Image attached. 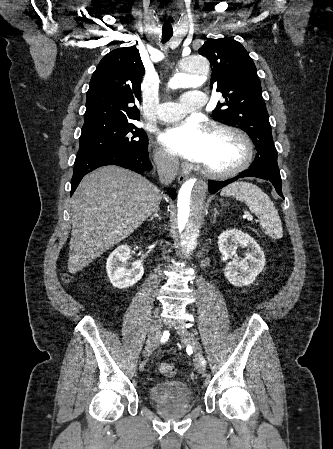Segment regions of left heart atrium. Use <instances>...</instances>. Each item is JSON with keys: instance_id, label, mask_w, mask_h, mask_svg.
I'll use <instances>...</instances> for the list:
<instances>
[{"instance_id": "left-heart-atrium-1", "label": "left heart atrium", "mask_w": 333, "mask_h": 449, "mask_svg": "<svg viewBox=\"0 0 333 449\" xmlns=\"http://www.w3.org/2000/svg\"><path fill=\"white\" fill-rule=\"evenodd\" d=\"M207 134L208 132L198 121L190 119L165 130L160 135V141L171 153L199 162Z\"/></svg>"}]
</instances>
